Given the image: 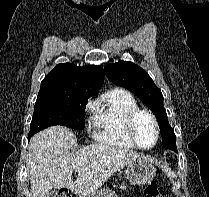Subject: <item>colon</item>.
<instances>
[{"label": "colon", "mask_w": 209, "mask_h": 197, "mask_svg": "<svg viewBox=\"0 0 209 197\" xmlns=\"http://www.w3.org/2000/svg\"><path fill=\"white\" fill-rule=\"evenodd\" d=\"M143 195L144 197H163L155 181H151L144 186ZM57 197H71V195L67 191H61Z\"/></svg>", "instance_id": "1"}]
</instances>
